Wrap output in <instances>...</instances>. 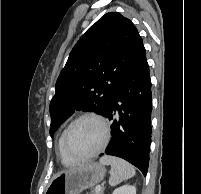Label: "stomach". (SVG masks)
Segmentation results:
<instances>
[{
    "label": "stomach",
    "instance_id": "1",
    "mask_svg": "<svg viewBox=\"0 0 201 194\" xmlns=\"http://www.w3.org/2000/svg\"><path fill=\"white\" fill-rule=\"evenodd\" d=\"M106 169L100 163H87L54 176L46 194H80L105 177Z\"/></svg>",
    "mask_w": 201,
    "mask_h": 194
}]
</instances>
